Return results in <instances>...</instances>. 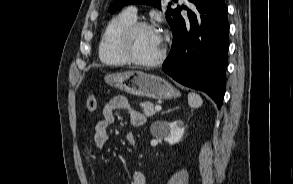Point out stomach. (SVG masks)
Listing matches in <instances>:
<instances>
[{"label":"stomach","instance_id":"1","mask_svg":"<svg viewBox=\"0 0 293 184\" xmlns=\"http://www.w3.org/2000/svg\"><path fill=\"white\" fill-rule=\"evenodd\" d=\"M105 82L112 87L139 97L170 99L180 95L165 79L141 71L108 74L105 76Z\"/></svg>","mask_w":293,"mask_h":184}]
</instances>
